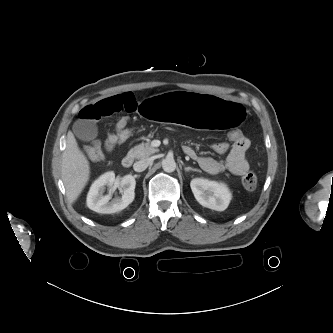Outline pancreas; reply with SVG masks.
<instances>
[{
    "mask_svg": "<svg viewBox=\"0 0 333 333\" xmlns=\"http://www.w3.org/2000/svg\"><path fill=\"white\" fill-rule=\"evenodd\" d=\"M155 152H158V149L152 147L149 143H141L130 149L129 155L133 158L144 159Z\"/></svg>",
    "mask_w": 333,
    "mask_h": 333,
    "instance_id": "cf45deb5",
    "label": "pancreas"
}]
</instances>
